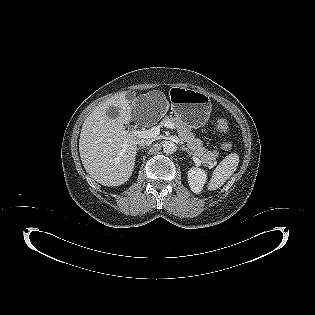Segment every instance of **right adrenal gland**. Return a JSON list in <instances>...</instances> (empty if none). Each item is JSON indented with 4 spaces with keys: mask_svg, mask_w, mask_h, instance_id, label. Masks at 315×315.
I'll return each mask as SVG.
<instances>
[{
    "mask_svg": "<svg viewBox=\"0 0 315 315\" xmlns=\"http://www.w3.org/2000/svg\"><path fill=\"white\" fill-rule=\"evenodd\" d=\"M143 148H145V146L138 147L136 150L139 151L140 149H143Z\"/></svg>",
    "mask_w": 315,
    "mask_h": 315,
    "instance_id": "1",
    "label": "right adrenal gland"
}]
</instances>
